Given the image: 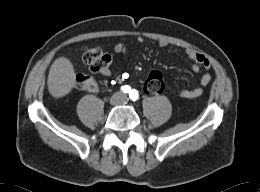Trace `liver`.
Instances as JSON below:
<instances>
[{
	"label": "liver",
	"mask_w": 260,
	"mask_h": 192,
	"mask_svg": "<svg viewBox=\"0 0 260 192\" xmlns=\"http://www.w3.org/2000/svg\"><path fill=\"white\" fill-rule=\"evenodd\" d=\"M75 71L71 61L57 58L51 65L47 80L48 90L55 98L67 95L75 87Z\"/></svg>",
	"instance_id": "obj_1"
}]
</instances>
